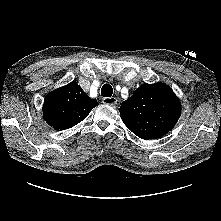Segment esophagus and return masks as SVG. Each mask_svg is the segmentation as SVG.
<instances>
[{
    "mask_svg": "<svg viewBox=\"0 0 221 221\" xmlns=\"http://www.w3.org/2000/svg\"><path fill=\"white\" fill-rule=\"evenodd\" d=\"M102 102L106 105H115L117 104V98L116 97H104L102 99Z\"/></svg>",
    "mask_w": 221,
    "mask_h": 221,
    "instance_id": "1",
    "label": "esophagus"
}]
</instances>
